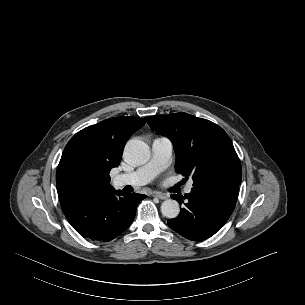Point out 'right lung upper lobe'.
<instances>
[{"mask_svg": "<svg viewBox=\"0 0 305 305\" xmlns=\"http://www.w3.org/2000/svg\"><path fill=\"white\" fill-rule=\"evenodd\" d=\"M146 118L113 117L76 133L66 145L56 172L61 203L92 191H108L109 172L117 167L130 136Z\"/></svg>", "mask_w": 305, "mask_h": 305, "instance_id": "cb5924a9", "label": "right lung upper lobe"}]
</instances>
